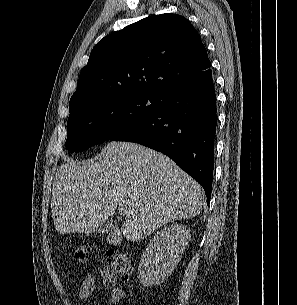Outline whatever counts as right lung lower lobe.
I'll return each instance as SVG.
<instances>
[{"label": "right lung lower lobe", "instance_id": "right-lung-lower-lobe-1", "mask_svg": "<svg viewBox=\"0 0 297 305\" xmlns=\"http://www.w3.org/2000/svg\"><path fill=\"white\" fill-rule=\"evenodd\" d=\"M216 110L211 77L165 94L151 114L110 139L139 143L166 154L202 185L209 204Z\"/></svg>", "mask_w": 297, "mask_h": 305}]
</instances>
